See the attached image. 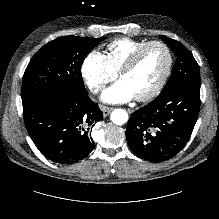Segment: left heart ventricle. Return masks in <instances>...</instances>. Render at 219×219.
<instances>
[{"label":"left heart ventricle","instance_id":"1","mask_svg":"<svg viewBox=\"0 0 219 219\" xmlns=\"http://www.w3.org/2000/svg\"><path fill=\"white\" fill-rule=\"evenodd\" d=\"M168 63L165 49L154 45L149 47L140 57L135 66L121 77L135 96L149 92L161 79Z\"/></svg>","mask_w":219,"mask_h":219}]
</instances>
